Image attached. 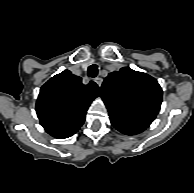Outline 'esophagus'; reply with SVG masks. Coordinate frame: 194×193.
Masks as SVG:
<instances>
[{"instance_id": "1", "label": "esophagus", "mask_w": 194, "mask_h": 193, "mask_svg": "<svg viewBox=\"0 0 194 193\" xmlns=\"http://www.w3.org/2000/svg\"><path fill=\"white\" fill-rule=\"evenodd\" d=\"M95 82H96V84H97L99 87H101L102 82H103V79L100 78V77H97V78H95Z\"/></svg>"}]
</instances>
